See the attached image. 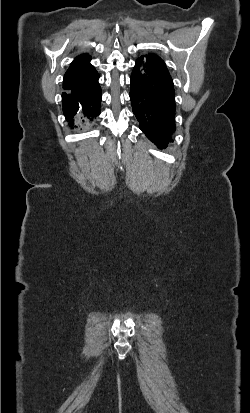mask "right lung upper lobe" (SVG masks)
I'll return each instance as SVG.
<instances>
[{
  "mask_svg": "<svg viewBox=\"0 0 250 413\" xmlns=\"http://www.w3.org/2000/svg\"><path fill=\"white\" fill-rule=\"evenodd\" d=\"M90 59L87 54L76 57L65 73L63 83L77 84L89 78L96 71L89 63Z\"/></svg>",
  "mask_w": 250,
  "mask_h": 413,
  "instance_id": "obj_1",
  "label": "right lung upper lobe"
}]
</instances>
